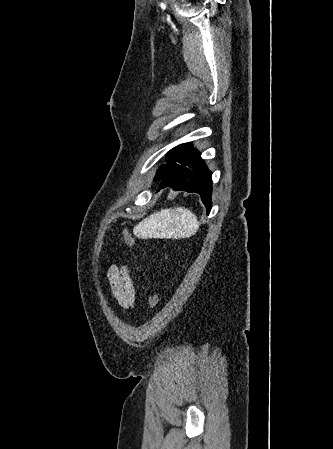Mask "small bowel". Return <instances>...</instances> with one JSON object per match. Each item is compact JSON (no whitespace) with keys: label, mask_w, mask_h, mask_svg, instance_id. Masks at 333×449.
Segmentation results:
<instances>
[{"label":"small bowel","mask_w":333,"mask_h":449,"mask_svg":"<svg viewBox=\"0 0 333 449\" xmlns=\"http://www.w3.org/2000/svg\"><path fill=\"white\" fill-rule=\"evenodd\" d=\"M108 279L115 301L124 309L132 308L135 290L127 269L113 266L108 272Z\"/></svg>","instance_id":"obj_1"}]
</instances>
